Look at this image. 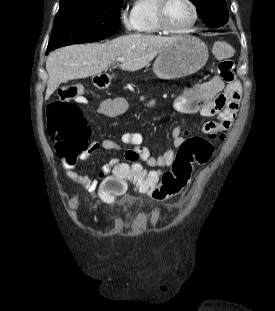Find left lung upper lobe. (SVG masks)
<instances>
[{"label":"left lung upper lobe","instance_id":"5c2ea615","mask_svg":"<svg viewBox=\"0 0 275 311\" xmlns=\"http://www.w3.org/2000/svg\"><path fill=\"white\" fill-rule=\"evenodd\" d=\"M203 22L212 28L225 25L229 19L226 0H190Z\"/></svg>","mask_w":275,"mask_h":311}]
</instances>
